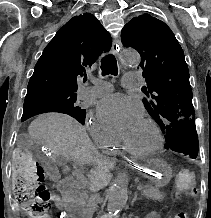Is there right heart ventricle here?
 <instances>
[{
	"label": "right heart ventricle",
	"mask_w": 211,
	"mask_h": 218,
	"mask_svg": "<svg viewBox=\"0 0 211 218\" xmlns=\"http://www.w3.org/2000/svg\"><path fill=\"white\" fill-rule=\"evenodd\" d=\"M115 146H116V143L113 141L111 144L105 146L104 148L107 152L114 153V152H116Z\"/></svg>",
	"instance_id": "1"
}]
</instances>
